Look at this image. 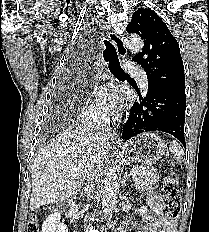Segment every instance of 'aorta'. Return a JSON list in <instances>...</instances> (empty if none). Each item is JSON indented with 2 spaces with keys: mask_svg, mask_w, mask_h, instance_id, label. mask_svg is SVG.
Here are the masks:
<instances>
[{
  "mask_svg": "<svg viewBox=\"0 0 209 232\" xmlns=\"http://www.w3.org/2000/svg\"><path fill=\"white\" fill-rule=\"evenodd\" d=\"M126 47L134 54H137L143 49V40L139 36H128L125 39ZM124 86L122 89H126ZM120 170V162L118 158H113L109 162L105 177L103 180L102 191V207L103 213L108 215L112 212L117 199V193L119 188L118 172Z\"/></svg>",
  "mask_w": 209,
  "mask_h": 232,
  "instance_id": "obj_1",
  "label": "aorta"
}]
</instances>
